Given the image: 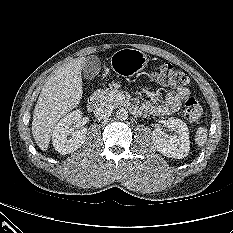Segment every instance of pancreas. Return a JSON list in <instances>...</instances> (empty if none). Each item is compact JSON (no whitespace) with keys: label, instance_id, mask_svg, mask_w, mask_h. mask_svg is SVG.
<instances>
[{"label":"pancreas","instance_id":"cf45deb5","mask_svg":"<svg viewBox=\"0 0 233 233\" xmlns=\"http://www.w3.org/2000/svg\"><path fill=\"white\" fill-rule=\"evenodd\" d=\"M95 96L101 103H107L112 106H116L120 103L115 91L110 89H98L95 91Z\"/></svg>","mask_w":233,"mask_h":233}]
</instances>
